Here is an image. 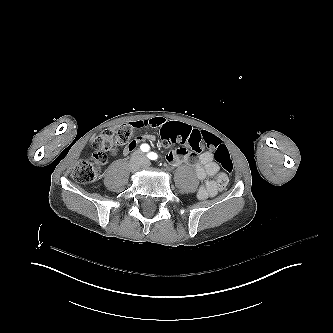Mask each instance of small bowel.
Here are the masks:
<instances>
[{
    "mask_svg": "<svg viewBox=\"0 0 333 333\" xmlns=\"http://www.w3.org/2000/svg\"><path fill=\"white\" fill-rule=\"evenodd\" d=\"M135 128H154L160 130L182 131L186 127L182 124L170 121L163 117H152L148 119L137 120L132 123ZM155 137L150 134L139 135L135 142L125 145L122 148L123 155L127 156L134 152L138 143L143 141H154ZM163 147L169 146L168 140L162 141ZM190 154L185 148H177L170 150L166 154V161L170 164H187ZM195 175L197 179L203 181L207 177L212 179L205 181L197 192V197L201 200L212 198L218 194L227 184V175L222 171L219 165L214 161L213 154L210 151L203 152L198 157V162L195 165Z\"/></svg>",
    "mask_w": 333,
    "mask_h": 333,
    "instance_id": "c3829d8e",
    "label": "small bowel"
}]
</instances>
